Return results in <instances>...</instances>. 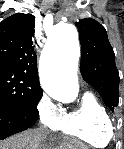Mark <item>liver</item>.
I'll return each instance as SVG.
<instances>
[{
  "mask_svg": "<svg viewBox=\"0 0 124 149\" xmlns=\"http://www.w3.org/2000/svg\"><path fill=\"white\" fill-rule=\"evenodd\" d=\"M0 149H88L83 143L57 137L45 129H31L0 143Z\"/></svg>",
  "mask_w": 124,
  "mask_h": 149,
  "instance_id": "liver-1",
  "label": "liver"
}]
</instances>
